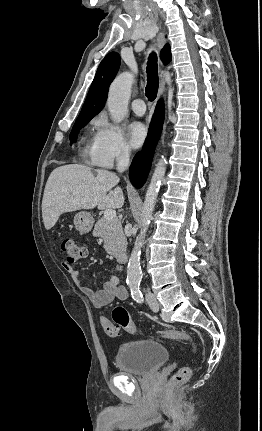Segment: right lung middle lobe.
Masks as SVG:
<instances>
[{"label": "right lung middle lobe", "mask_w": 262, "mask_h": 431, "mask_svg": "<svg viewBox=\"0 0 262 431\" xmlns=\"http://www.w3.org/2000/svg\"><path fill=\"white\" fill-rule=\"evenodd\" d=\"M92 118H77L73 128L72 132L70 133V144L76 142L77 139V133L81 128H83Z\"/></svg>", "instance_id": "dd1d6c3e"}]
</instances>
